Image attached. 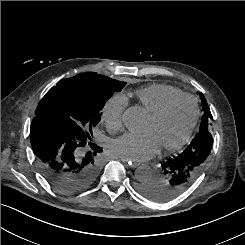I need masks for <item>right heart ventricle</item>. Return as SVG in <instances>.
Instances as JSON below:
<instances>
[{
	"instance_id": "e07e8e85",
	"label": "right heart ventricle",
	"mask_w": 245,
	"mask_h": 245,
	"mask_svg": "<svg viewBox=\"0 0 245 245\" xmlns=\"http://www.w3.org/2000/svg\"><path fill=\"white\" fill-rule=\"evenodd\" d=\"M181 95H184L181 90L163 84L149 85L135 92L139 105L148 114L155 111L169 99Z\"/></svg>"
}]
</instances>
